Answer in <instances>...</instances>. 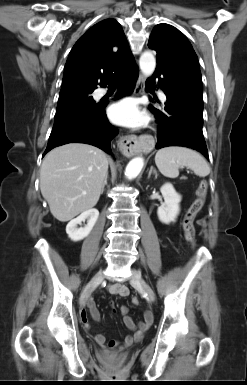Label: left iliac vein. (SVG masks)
<instances>
[{"instance_id":"left-iliac-vein-1","label":"left iliac vein","mask_w":247,"mask_h":385,"mask_svg":"<svg viewBox=\"0 0 247 385\" xmlns=\"http://www.w3.org/2000/svg\"><path fill=\"white\" fill-rule=\"evenodd\" d=\"M130 282H131V284L141 288L142 291L146 294V297L150 302L155 301L156 297H155V293H154L153 289L143 279V277L139 271L134 270V269L131 270Z\"/></svg>"}]
</instances>
